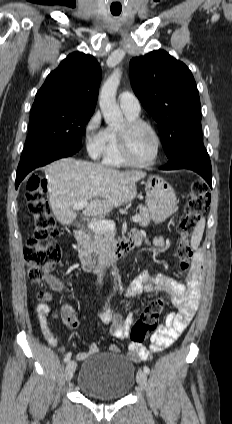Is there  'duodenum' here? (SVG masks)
Segmentation results:
<instances>
[{"label":"duodenum","instance_id":"duodenum-1","mask_svg":"<svg viewBox=\"0 0 232 424\" xmlns=\"http://www.w3.org/2000/svg\"><path fill=\"white\" fill-rule=\"evenodd\" d=\"M130 232L127 236L118 240L108 256L102 261L95 260L89 251L86 243V232L81 229L74 231V239L76 242L77 252L82 264V268L86 272H98L99 270L122 259L124 254L135 246L140 245V237L132 235Z\"/></svg>","mask_w":232,"mask_h":424}]
</instances>
